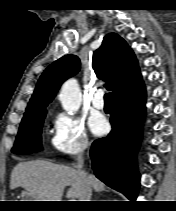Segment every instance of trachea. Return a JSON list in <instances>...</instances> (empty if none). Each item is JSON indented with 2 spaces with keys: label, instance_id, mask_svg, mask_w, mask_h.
I'll return each instance as SVG.
<instances>
[{
  "label": "trachea",
  "instance_id": "trachea-1",
  "mask_svg": "<svg viewBox=\"0 0 176 211\" xmlns=\"http://www.w3.org/2000/svg\"><path fill=\"white\" fill-rule=\"evenodd\" d=\"M106 102H112V93H106L104 96Z\"/></svg>",
  "mask_w": 176,
  "mask_h": 211
}]
</instances>
